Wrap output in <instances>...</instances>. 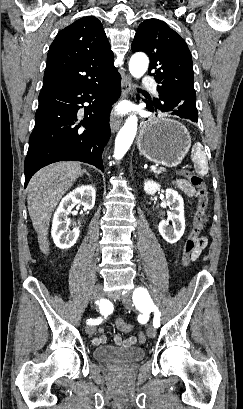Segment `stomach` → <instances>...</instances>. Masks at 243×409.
Listing matches in <instances>:
<instances>
[{
  "instance_id": "obj_1",
  "label": "stomach",
  "mask_w": 243,
  "mask_h": 409,
  "mask_svg": "<svg viewBox=\"0 0 243 409\" xmlns=\"http://www.w3.org/2000/svg\"><path fill=\"white\" fill-rule=\"evenodd\" d=\"M190 146L191 136L187 128L165 116L146 121L137 138V147L142 155L167 167L179 165Z\"/></svg>"
}]
</instances>
